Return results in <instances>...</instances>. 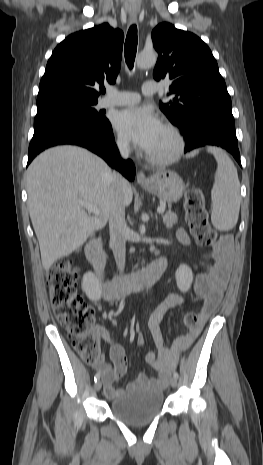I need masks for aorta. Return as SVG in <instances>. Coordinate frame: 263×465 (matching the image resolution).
<instances>
[{"label":"aorta","instance_id":"1","mask_svg":"<svg viewBox=\"0 0 263 465\" xmlns=\"http://www.w3.org/2000/svg\"><path fill=\"white\" fill-rule=\"evenodd\" d=\"M157 61V54L153 51H142L136 58V65L138 68L145 69L153 67Z\"/></svg>","mask_w":263,"mask_h":465}]
</instances>
